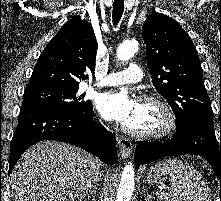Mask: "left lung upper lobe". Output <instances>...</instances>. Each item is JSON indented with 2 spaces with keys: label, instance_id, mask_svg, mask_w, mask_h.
I'll return each instance as SVG.
<instances>
[{
  "label": "left lung upper lobe",
  "instance_id": "obj_1",
  "mask_svg": "<svg viewBox=\"0 0 221 201\" xmlns=\"http://www.w3.org/2000/svg\"><path fill=\"white\" fill-rule=\"evenodd\" d=\"M147 65L156 90L176 116V128L193 120L213 122L197 50L189 35L172 18L150 14L142 27Z\"/></svg>",
  "mask_w": 221,
  "mask_h": 201
}]
</instances>
